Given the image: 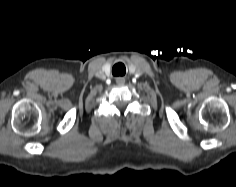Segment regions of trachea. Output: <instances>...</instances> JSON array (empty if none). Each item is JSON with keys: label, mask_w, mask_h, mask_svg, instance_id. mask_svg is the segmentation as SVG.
<instances>
[{"label": "trachea", "mask_w": 236, "mask_h": 187, "mask_svg": "<svg viewBox=\"0 0 236 187\" xmlns=\"http://www.w3.org/2000/svg\"><path fill=\"white\" fill-rule=\"evenodd\" d=\"M126 73V68L122 63H117L112 68V74L114 76H123Z\"/></svg>", "instance_id": "obj_1"}]
</instances>
